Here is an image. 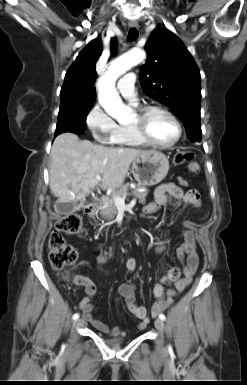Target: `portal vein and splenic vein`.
<instances>
[{"label":"portal vein and splenic vein","mask_w":247,"mask_h":385,"mask_svg":"<svg viewBox=\"0 0 247 385\" xmlns=\"http://www.w3.org/2000/svg\"><path fill=\"white\" fill-rule=\"evenodd\" d=\"M95 179L97 181H101L102 180V177L101 175H97L95 177ZM113 199H114V203L117 207H120L122 209H126L128 207V205L125 204V199L124 198H121V197H118V196H113ZM136 200L134 199L132 202H135Z\"/></svg>","instance_id":"18ae733b"}]
</instances>
